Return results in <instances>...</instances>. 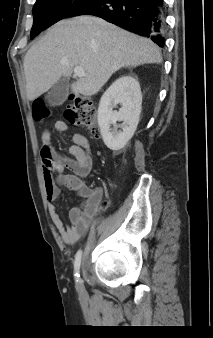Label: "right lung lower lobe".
Segmentation results:
<instances>
[{
  "label": "right lung lower lobe",
  "instance_id": "right-lung-lower-lobe-1",
  "mask_svg": "<svg viewBox=\"0 0 213 338\" xmlns=\"http://www.w3.org/2000/svg\"><path fill=\"white\" fill-rule=\"evenodd\" d=\"M95 15L164 46V0H93L71 16Z\"/></svg>",
  "mask_w": 213,
  "mask_h": 338
}]
</instances>
